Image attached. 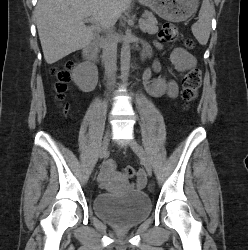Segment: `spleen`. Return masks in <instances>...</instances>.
Returning <instances> with one entry per match:
<instances>
[{"instance_id": "1", "label": "spleen", "mask_w": 248, "mask_h": 250, "mask_svg": "<svg viewBox=\"0 0 248 250\" xmlns=\"http://www.w3.org/2000/svg\"><path fill=\"white\" fill-rule=\"evenodd\" d=\"M213 11L214 8L209 0H203L199 11V19L191 27L194 37L201 45H206L208 42Z\"/></svg>"}]
</instances>
